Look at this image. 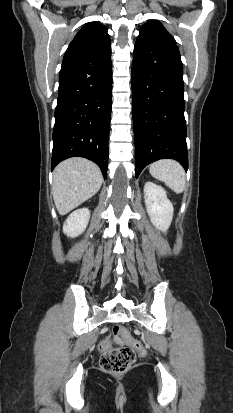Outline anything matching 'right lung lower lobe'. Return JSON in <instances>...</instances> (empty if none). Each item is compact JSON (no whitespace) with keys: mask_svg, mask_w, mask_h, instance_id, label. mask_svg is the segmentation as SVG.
I'll return each instance as SVG.
<instances>
[{"mask_svg":"<svg viewBox=\"0 0 233 413\" xmlns=\"http://www.w3.org/2000/svg\"><path fill=\"white\" fill-rule=\"evenodd\" d=\"M51 169L80 156L107 175L112 101L111 45L94 53L65 59L59 74Z\"/></svg>","mask_w":233,"mask_h":413,"instance_id":"1","label":"right lung lower lobe"}]
</instances>
